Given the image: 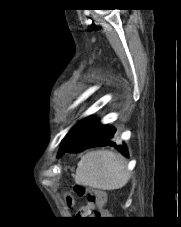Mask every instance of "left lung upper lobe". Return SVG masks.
I'll return each mask as SVG.
<instances>
[{
	"label": "left lung upper lobe",
	"mask_w": 181,
	"mask_h": 227,
	"mask_svg": "<svg viewBox=\"0 0 181 227\" xmlns=\"http://www.w3.org/2000/svg\"><path fill=\"white\" fill-rule=\"evenodd\" d=\"M89 119H90V117H88V118L80 121L78 124H76L71 129V131L63 139L60 152H61V150L63 148H65L68 144H70L71 142H73L80 135V133L83 131V129L85 128V126L89 122Z\"/></svg>",
	"instance_id": "obj_1"
}]
</instances>
